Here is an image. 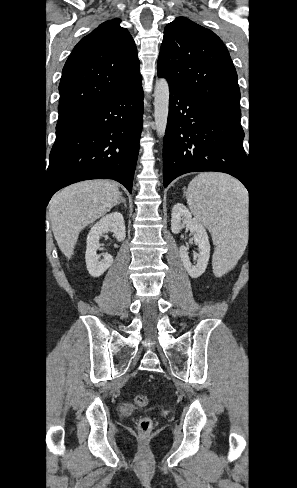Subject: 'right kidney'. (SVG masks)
<instances>
[{
	"mask_svg": "<svg viewBox=\"0 0 297 488\" xmlns=\"http://www.w3.org/2000/svg\"><path fill=\"white\" fill-rule=\"evenodd\" d=\"M108 231L113 232L119 242L125 239V222L120 212L114 211L102 217L94 224L87 236L85 260L88 272L93 277L101 276L113 263L111 254H105L102 260H99L100 257L96 254L100 246V237Z\"/></svg>",
	"mask_w": 297,
	"mask_h": 488,
	"instance_id": "ca27d5eb",
	"label": "right kidney"
}]
</instances>
